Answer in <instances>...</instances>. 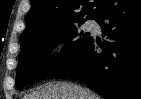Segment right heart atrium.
<instances>
[{"instance_id": "d8ad5b80", "label": "right heart atrium", "mask_w": 141, "mask_h": 99, "mask_svg": "<svg viewBox=\"0 0 141 99\" xmlns=\"http://www.w3.org/2000/svg\"><path fill=\"white\" fill-rule=\"evenodd\" d=\"M55 56L59 63L66 62L68 58V46L65 43H59L55 47Z\"/></svg>"}]
</instances>
